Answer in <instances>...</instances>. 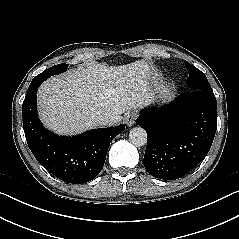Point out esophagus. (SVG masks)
<instances>
[{
    "label": "esophagus",
    "instance_id": "34e87169",
    "mask_svg": "<svg viewBox=\"0 0 239 239\" xmlns=\"http://www.w3.org/2000/svg\"><path fill=\"white\" fill-rule=\"evenodd\" d=\"M136 114L135 112L131 111L128 112L124 118V122L128 127H131L135 124Z\"/></svg>",
    "mask_w": 239,
    "mask_h": 239
}]
</instances>
